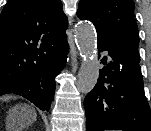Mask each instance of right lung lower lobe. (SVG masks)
Masks as SVG:
<instances>
[{
	"label": "right lung lower lobe",
	"mask_w": 151,
	"mask_h": 131,
	"mask_svg": "<svg viewBox=\"0 0 151 131\" xmlns=\"http://www.w3.org/2000/svg\"><path fill=\"white\" fill-rule=\"evenodd\" d=\"M47 60L44 66L36 73L18 81L4 94L20 95L39 109L48 111L50 103L54 98L55 77L64 67L68 54L67 38L55 44L47 52Z\"/></svg>",
	"instance_id": "1"
}]
</instances>
